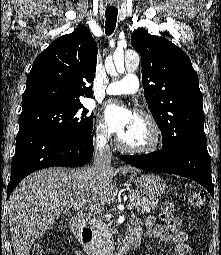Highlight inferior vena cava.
Listing matches in <instances>:
<instances>
[{
  "label": "inferior vena cava",
  "mask_w": 221,
  "mask_h": 255,
  "mask_svg": "<svg viewBox=\"0 0 221 255\" xmlns=\"http://www.w3.org/2000/svg\"><path fill=\"white\" fill-rule=\"evenodd\" d=\"M111 152L106 137H101L97 143L93 156V168L97 171H104L111 167Z\"/></svg>",
  "instance_id": "602c4592"
}]
</instances>
